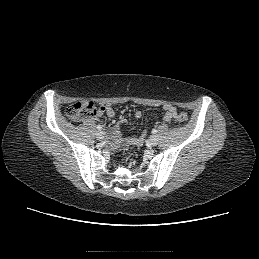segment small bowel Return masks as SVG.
Returning a JSON list of instances; mask_svg holds the SVG:
<instances>
[{
	"instance_id": "1",
	"label": "small bowel",
	"mask_w": 259,
	"mask_h": 259,
	"mask_svg": "<svg viewBox=\"0 0 259 259\" xmlns=\"http://www.w3.org/2000/svg\"><path fill=\"white\" fill-rule=\"evenodd\" d=\"M105 114L108 119H113L115 116L114 110L110 106H101L98 115ZM177 114L176 108L169 103H165L162 106V118L169 122L175 118ZM134 117L136 119H139L142 117V112L140 110L135 111ZM93 119V118H92ZM114 135V143L113 145L115 147H119L121 144H131V145H141L144 142L146 132H142L138 136H132V137H123L122 134V128L121 126H116L113 130Z\"/></svg>"
}]
</instances>
